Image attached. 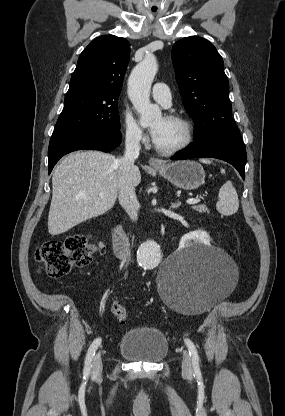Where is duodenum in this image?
I'll list each match as a JSON object with an SVG mask.
<instances>
[{
	"label": "duodenum",
	"mask_w": 285,
	"mask_h": 416,
	"mask_svg": "<svg viewBox=\"0 0 285 416\" xmlns=\"http://www.w3.org/2000/svg\"><path fill=\"white\" fill-rule=\"evenodd\" d=\"M112 243L113 250L117 258L124 266H128L132 256V246L129 242L128 236L118 226H115L112 229Z\"/></svg>",
	"instance_id": "obj_1"
}]
</instances>
